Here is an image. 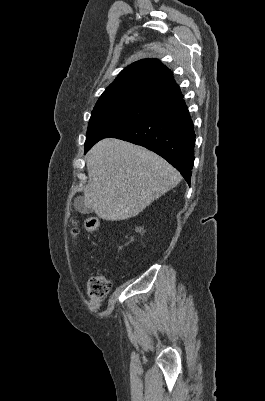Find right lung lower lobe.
I'll return each mask as SVG.
<instances>
[{"instance_id":"obj_1","label":"right lung lower lobe","mask_w":265,"mask_h":401,"mask_svg":"<svg viewBox=\"0 0 265 401\" xmlns=\"http://www.w3.org/2000/svg\"><path fill=\"white\" fill-rule=\"evenodd\" d=\"M108 137L141 145L157 153L174 166L190 185L196 135L183 98L112 132Z\"/></svg>"}]
</instances>
